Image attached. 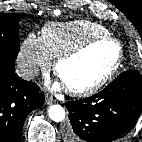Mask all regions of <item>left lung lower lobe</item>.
Returning <instances> with one entry per match:
<instances>
[{
  "mask_svg": "<svg viewBox=\"0 0 142 142\" xmlns=\"http://www.w3.org/2000/svg\"><path fill=\"white\" fill-rule=\"evenodd\" d=\"M65 106L70 119L66 142L122 140L142 110V76L137 70H127L101 92Z\"/></svg>",
  "mask_w": 142,
  "mask_h": 142,
  "instance_id": "obj_1",
  "label": "left lung lower lobe"
}]
</instances>
